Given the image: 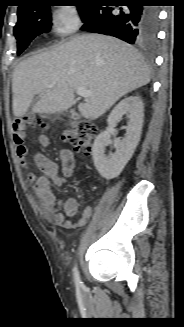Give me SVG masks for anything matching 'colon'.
<instances>
[{
	"mask_svg": "<svg viewBox=\"0 0 184 327\" xmlns=\"http://www.w3.org/2000/svg\"><path fill=\"white\" fill-rule=\"evenodd\" d=\"M40 125L46 126L40 116L27 114L16 119L12 125L13 138L16 144L17 154L23 157L27 153L26 136L29 128ZM97 135V127L88 120H79L72 122L62 132L64 142L70 144L76 149L90 152L94 138Z\"/></svg>",
	"mask_w": 184,
	"mask_h": 327,
	"instance_id": "colon-1",
	"label": "colon"
}]
</instances>
